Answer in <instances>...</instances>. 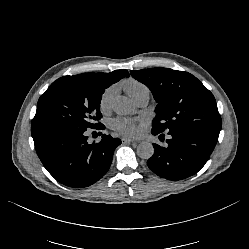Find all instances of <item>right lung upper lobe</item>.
<instances>
[{
  "instance_id": "right-lung-upper-lobe-1",
  "label": "right lung upper lobe",
  "mask_w": 249,
  "mask_h": 249,
  "mask_svg": "<svg viewBox=\"0 0 249 249\" xmlns=\"http://www.w3.org/2000/svg\"><path fill=\"white\" fill-rule=\"evenodd\" d=\"M99 76L102 80L113 84L124 77H128L129 73L127 70H116L110 73H91Z\"/></svg>"
}]
</instances>
